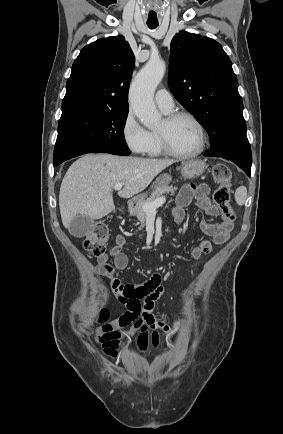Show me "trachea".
Wrapping results in <instances>:
<instances>
[{
	"mask_svg": "<svg viewBox=\"0 0 283 434\" xmlns=\"http://www.w3.org/2000/svg\"><path fill=\"white\" fill-rule=\"evenodd\" d=\"M147 25L150 29H155L156 27H158V23H148L147 22Z\"/></svg>",
	"mask_w": 283,
	"mask_h": 434,
	"instance_id": "1",
	"label": "trachea"
}]
</instances>
